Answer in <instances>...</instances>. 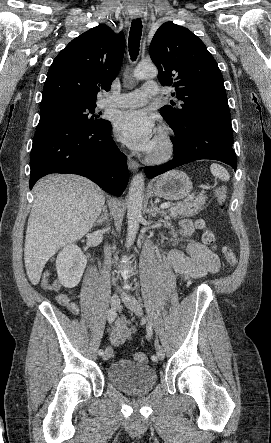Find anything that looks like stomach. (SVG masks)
<instances>
[{"instance_id":"obj_1","label":"stomach","mask_w":271,"mask_h":443,"mask_svg":"<svg viewBox=\"0 0 271 443\" xmlns=\"http://www.w3.org/2000/svg\"><path fill=\"white\" fill-rule=\"evenodd\" d=\"M191 190L193 188L190 178L179 170H171L152 182L154 196L165 198V200H182L189 196Z\"/></svg>"}]
</instances>
